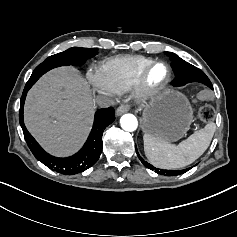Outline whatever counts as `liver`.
Masks as SVG:
<instances>
[{
	"label": "liver",
	"instance_id": "liver-1",
	"mask_svg": "<svg viewBox=\"0 0 237 237\" xmlns=\"http://www.w3.org/2000/svg\"><path fill=\"white\" fill-rule=\"evenodd\" d=\"M95 109L87 80L73 67H60L44 74L29 90L24 123L48 153L67 157L86 140Z\"/></svg>",
	"mask_w": 237,
	"mask_h": 237
}]
</instances>
